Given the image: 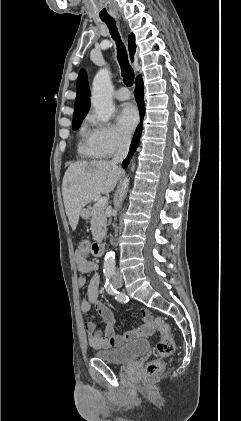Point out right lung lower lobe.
<instances>
[{
  "instance_id": "98d812e1",
  "label": "right lung lower lobe",
  "mask_w": 241,
  "mask_h": 421,
  "mask_svg": "<svg viewBox=\"0 0 241 421\" xmlns=\"http://www.w3.org/2000/svg\"><path fill=\"white\" fill-rule=\"evenodd\" d=\"M135 84H136V88H135L134 94H135V98H136V101H137V104H138V107H139V110H140V124L138 125V127L135 131L128 156L126 157V159L122 163V166H123L124 169L127 168L128 164H129V162L132 158V155L134 154V152H135V150L138 146L139 139H140L141 132H142V120H143V117H144V114H145V104H144V101H143L144 85H143L141 75H139L136 78Z\"/></svg>"
}]
</instances>
